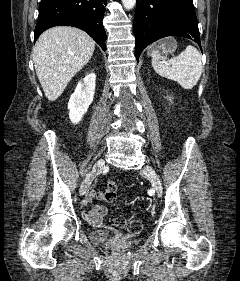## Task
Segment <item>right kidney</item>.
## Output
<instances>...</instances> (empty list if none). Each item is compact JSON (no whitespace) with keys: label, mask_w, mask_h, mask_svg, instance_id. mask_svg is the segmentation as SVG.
<instances>
[{"label":"right kidney","mask_w":240,"mask_h":281,"mask_svg":"<svg viewBox=\"0 0 240 281\" xmlns=\"http://www.w3.org/2000/svg\"><path fill=\"white\" fill-rule=\"evenodd\" d=\"M96 86L95 73H89L79 83L68 103L69 118L73 124L80 122L93 102Z\"/></svg>","instance_id":"obj_1"}]
</instances>
